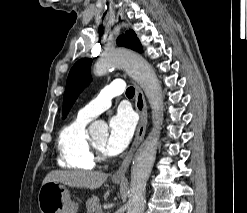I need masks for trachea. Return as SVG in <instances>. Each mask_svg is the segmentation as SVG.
Returning <instances> with one entry per match:
<instances>
[{"instance_id":"1","label":"trachea","mask_w":247,"mask_h":213,"mask_svg":"<svg viewBox=\"0 0 247 213\" xmlns=\"http://www.w3.org/2000/svg\"><path fill=\"white\" fill-rule=\"evenodd\" d=\"M134 93H135V89L133 87L127 88V90H126V95L127 96H133Z\"/></svg>"}]
</instances>
